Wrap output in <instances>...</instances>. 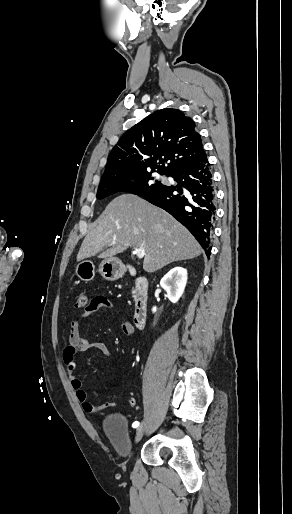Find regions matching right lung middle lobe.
I'll use <instances>...</instances> for the list:
<instances>
[{
	"mask_svg": "<svg viewBox=\"0 0 292 514\" xmlns=\"http://www.w3.org/2000/svg\"><path fill=\"white\" fill-rule=\"evenodd\" d=\"M154 172L155 171L101 180L97 192V199H103L120 191H126L142 197L163 185L160 180H156L152 176ZM157 172L161 175H168L164 172ZM129 179L134 182L128 185L127 182H130Z\"/></svg>",
	"mask_w": 292,
	"mask_h": 514,
	"instance_id": "right-lung-middle-lobe-1",
	"label": "right lung middle lobe"
}]
</instances>
